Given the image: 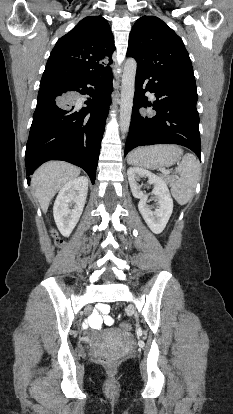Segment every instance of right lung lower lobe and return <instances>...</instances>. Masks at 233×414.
Masks as SVG:
<instances>
[{"mask_svg": "<svg viewBox=\"0 0 233 414\" xmlns=\"http://www.w3.org/2000/svg\"><path fill=\"white\" fill-rule=\"evenodd\" d=\"M112 89L111 70L75 81L40 82L25 153L28 184L29 175L48 160L75 164L95 182ZM78 93L91 96L82 108L75 100Z\"/></svg>", "mask_w": 233, "mask_h": 414, "instance_id": "obj_1", "label": "right lung lower lobe"}]
</instances>
